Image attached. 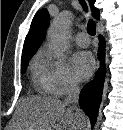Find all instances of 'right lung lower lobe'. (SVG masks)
Listing matches in <instances>:
<instances>
[{
    "label": "right lung lower lobe",
    "instance_id": "obj_1",
    "mask_svg": "<svg viewBox=\"0 0 123 130\" xmlns=\"http://www.w3.org/2000/svg\"><path fill=\"white\" fill-rule=\"evenodd\" d=\"M98 56L102 66L98 70L95 78L82 88L79 98L80 107L90 118L92 127H94L96 123L105 79V43L104 38L101 36H99Z\"/></svg>",
    "mask_w": 123,
    "mask_h": 130
}]
</instances>
